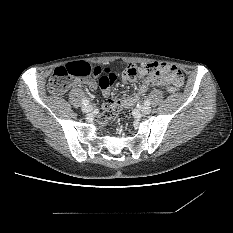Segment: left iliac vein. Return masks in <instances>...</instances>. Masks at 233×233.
Returning a JSON list of instances; mask_svg holds the SVG:
<instances>
[{"instance_id":"1","label":"left iliac vein","mask_w":233,"mask_h":233,"mask_svg":"<svg viewBox=\"0 0 233 233\" xmlns=\"http://www.w3.org/2000/svg\"><path fill=\"white\" fill-rule=\"evenodd\" d=\"M138 110L142 113V114H149L151 112V107L146 106V105H141L139 106Z\"/></svg>"}]
</instances>
